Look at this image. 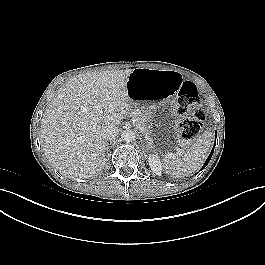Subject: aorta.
Wrapping results in <instances>:
<instances>
[{
	"mask_svg": "<svg viewBox=\"0 0 265 265\" xmlns=\"http://www.w3.org/2000/svg\"><path fill=\"white\" fill-rule=\"evenodd\" d=\"M135 137H136V134L134 131L132 130H127V131H124L122 134H121V138L126 141V142H132L135 140Z\"/></svg>",
	"mask_w": 265,
	"mask_h": 265,
	"instance_id": "obj_1",
	"label": "aorta"
}]
</instances>
